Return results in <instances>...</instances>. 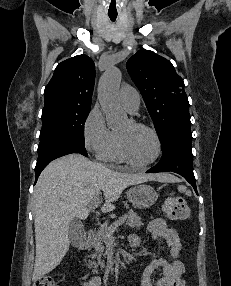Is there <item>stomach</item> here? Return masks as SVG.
<instances>
[{"label":"stomach","instance_id":"0dacf381","mask_svg":"<svg viewBox=\"0 0 231 286\" xmlns=\"http://www.w3.org/2000/svg\"><path fill=\"white\" fill-rule=\"evenodd\" d=\"M126 194L132 205L140 209L151 207L158 198L155 189L147 184L135 185Z\"/></svg>","mask_w":231,"mask_h":286}]
</instances>
